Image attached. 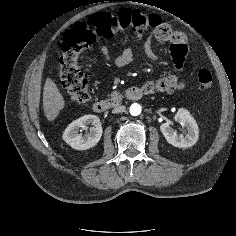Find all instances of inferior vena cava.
I'll use <instances>...</instances> for the list:
<instances>
[{
    "mask_svg": "<svg viewBox=\"0 0 236 236\" xmlns=\"http://www.w3.org/2000/svg\"><path fill=\"white\" fill-rule=\"evenodd\" d=\"M125 106H117L112 110V113H122L125 112Z\"/></svg>",
    "mask_w": 236,
    "mask_h": 236,
    "instance_id": "inferior-vena-cava-1",
    "label": "inferior vena cava"
}]
</instances>
